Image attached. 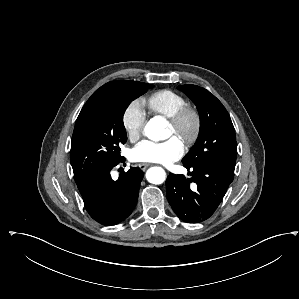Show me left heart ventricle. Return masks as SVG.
Segmentation results:
<instances>
[{"label": "left heart ventricle", "instance_id": "left-heart-ventricle-1", "mask_svg": "<svg viewBox=\"0 0 299 299\" xmlns=\"http://www.w3.org/2000/svg\"><path fill=\"white\" fill-rule=\"evenodd\" d=\"M172 136H175V137L179 138V137L175 134L174 129L172 128V126L169 125V133H168V137H172Z\"/></svg>", "mask_w": 299, "mask_h": 299}]
</instances>
